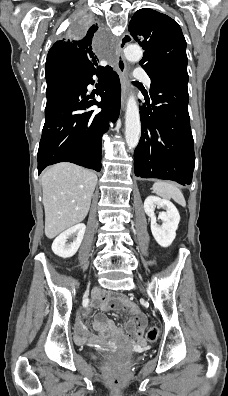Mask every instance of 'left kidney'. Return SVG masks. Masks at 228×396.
Listing matches in <instances>:
<instances>
[{
	"mask_svg": "<svg viewBox=\"0 0 228 396\" xmlns=\"http://www.w3.org/2000/svg\"><path fill=\"white\" fill-rule=\"evenodd\" d=\"M162 208L158 218L161 224L157 223L155 208ZM144 211L151 218V232L156 242L162 247H168L176 237V230L180 222V215L177 208L169 200L156 196H148L144 201Z\"/></svg>",
	"mask_w": 228,
	"mask_h": 396,
	"instance_id": "left-kidney-1",
	"label": "left kidney"
}]
</instances>
